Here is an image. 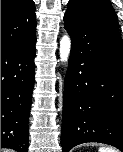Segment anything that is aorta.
I'll return each mask as SVG.
<instances>
[{"label":"aorta","mask_w":123,"mask_h":152,"mask_svg":"<svg viewBox=\"0 0 123 152\" xmlns=\"http://www.w3.org/2000/svg\"><path fill=\"white\" fill-rule=\"evenodd\" d=\"M70 50H71V39L68 34H65L61 40H60V60L63 63H66L70 56Z\"/></svg>","instance_id":"762f6f07"}]
</instances>
